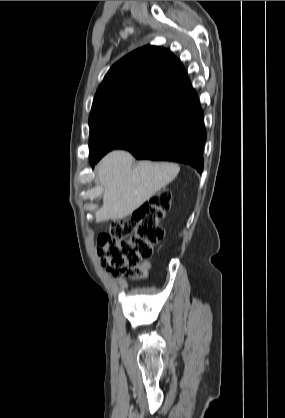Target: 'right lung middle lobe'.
<instances>
[{"label":"right lung middle lobe","instance_id":"1","mask_svg":"<svg viewBox=\"0 0 285 418\" xmlns=\"http://www.w3.org/2000/svg\"><path fill=\"white\" fill-rule=\"evenodd\" d=\"M170 108L143 101H124L90 113L89 158L100 159L161 121Z\"/></svg>","mask_w":285,"mask_h":418}]
</instances>
